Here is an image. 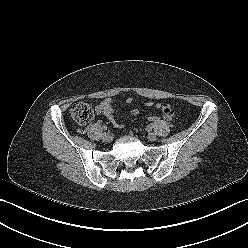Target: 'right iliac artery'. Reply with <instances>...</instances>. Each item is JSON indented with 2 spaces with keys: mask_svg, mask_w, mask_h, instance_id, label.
Returning <instances> with one entry per match:
<instances>
[{
  "mask_svg": "<svg viewBox=\"0 0 248 248\" xmlns=\"http://www.w3.org/2000/svg\"><path fill=\"white\" fill-rule=\"evenodd\" d=\"M102 129H103L104 131H106V130L108 129V127H107L106 125H103V126H102Z\"/></svg>",
  "mask_w": 248,
  "mask_h": 248,
  "instance_id": "82829eb1",
  "label": "right iliac artery"
}]
</instances>
